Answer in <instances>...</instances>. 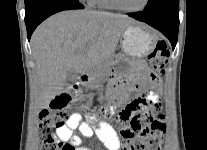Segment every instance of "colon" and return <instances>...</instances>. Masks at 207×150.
Instances as JSON below:
<instances>
[{
    "instance_id": "colon-1",
    "label": "colon",
    "mask_w": 207,
    "mask_h": 150,
    "mask_svg": "<svg viewBox=\"0 0 207 150\" xmlns=\"http://www.w3.org/2000/svg\"><path fill=\"white\" fill-rule=\"evenodd\" d=\"M169 57V50L164 41H159L154 50L148 55L151 66L149 86L142 87L143 94L139 99L128 102V107H141L135 115L127 110L119 114V120L128 125L121 131V150H161L166 130L165 117L162 114L155 116L156 107H160L161 99L158 96V87L162 86V80L158 74L165 72V66ZM69 96L64 94L58 100H52L50 109L40 114L39 128L42 132L58 128L65 124L68 114L62 105H71ZM105 116H111L114 109L111 106L100 110ZM40 150H73L70 144L58 141L50 135H46Z\"/></svg>"
}]
</instances>
